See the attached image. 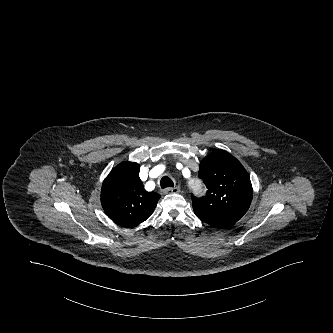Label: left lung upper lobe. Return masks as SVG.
I'll use <instances>...</instances> for the list:
<instances>
[{
	"label": "left lung upper lobe",
	"mask_w": 333,
	"mask_h": 333,
	"mask_svg": "<svg viewBox=\"0 0 333 333\" xmlns=\"http://www.w3.org/2000/svg\"><path fill=\"white\" fill-rule=\"evenodd\" d=\"M199 176L207 194L192 196L195 215L213 227H226L238 221L249 209L253 190L242 164L230 153L216 150L200 163Z\"/></svg>",
	"instance_id": "5c2ea615"
}]
</instances>
